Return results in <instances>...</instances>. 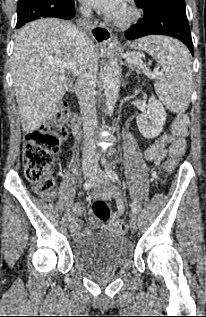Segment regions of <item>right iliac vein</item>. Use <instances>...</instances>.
<instances>
[{
	"label": "right iliac vein",
	"instance_id": "obj_1",
	"mask_svg": "<svg viewBox=\"0 0 206 317\" xmlns=\"http://www.w3.org/2000/svg\"><path fill=\"white\" fill-rule=\"evenodd\" d=\"M94 172L92 170H89L87 172H85V176L87 178H91L93 176ZM69 230L70 232H74L76 230V223L74 221H72L70 224H69Z\"/></svg>",
	"mask_w": 206,
	"mask_h": 317
}]
</instances>
